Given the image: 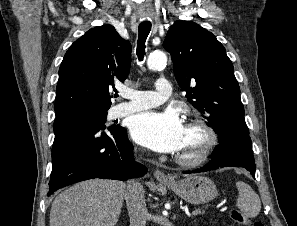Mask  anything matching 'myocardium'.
I'll return each instance as SVG.
<instances>
[{"instance_id":"myocardium-1","label":"myocardium","mask_w":297,"mask_h":226,"mask_svg":"<svg viewBox=\"0 0 297 226\" xmlns=\"http://www.w3.org/2000/svg\"><path fill=\"white\" fill-rule=\"evenodd\" d=\"M186 126L198 128L204 135V142L195 154L191 156L177 154L175 160L182 166L195 167L203 164L212 154L218 144V135L215 129L201 117L189 119Z\"/></svg>"}]
</instances>
